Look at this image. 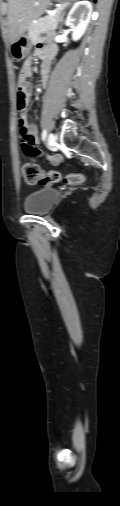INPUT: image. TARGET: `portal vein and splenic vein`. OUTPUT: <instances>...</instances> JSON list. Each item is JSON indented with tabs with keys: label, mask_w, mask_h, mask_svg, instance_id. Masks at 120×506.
Here are the masks:
<instances>
[{
	"label": "portal vein and splenic vein",
	"mask_w": 120,
	"mask_h": 506,
	"mask_svg": "<svg viewBox=\"0 0 120 506\" xmlns=\"http://www.w3.org/2000/svg\"><path fill=\"white\" fill-rule=\"evenodd\" d=\"M57 12H58V9L53 10L52 12H50L49 17L50 18L53 17Z\"/></svg>",
	"instance_id": "1"
}]
</instances>
